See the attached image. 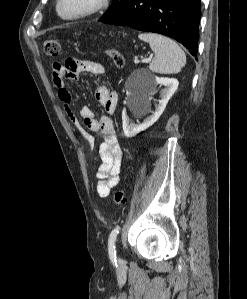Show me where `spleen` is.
<instances>
[{"label":"spleen","mask_w":247,"mask_h":299,"mask_svg":"<svg viewBox=\"0 0 247 299\" xmlns=\"http://www.w3.org/2000/svg\"><path fill=\"white\" fill-rule=\"evenodd\" d=\"M139 39L148 42L155 53L149 64L152 72L160 74L178 73L186 64V55L180 46L168 37L153 34H139Z\"/></svg>","instance_id":"3e777b00"}]
</instances>
